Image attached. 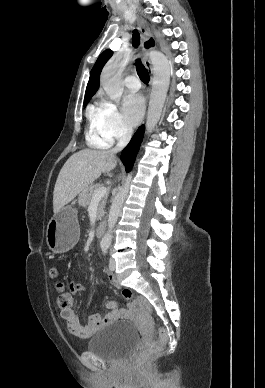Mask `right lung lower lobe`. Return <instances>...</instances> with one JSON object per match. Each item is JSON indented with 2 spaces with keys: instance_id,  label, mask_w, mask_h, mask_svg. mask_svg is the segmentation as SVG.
Returning <instances> with one entry per match:
<instances>
[{
  "instance_id": "98d812e1",
  "label": "right lung lower lobe",
  "mask_w": 265,
  "mask_h": 388,
  "mask_svg": "<svg viewBox=\"0 0 265 388\" xmlns=\"http://www.w3.org/2000/svg\"><path fill=\"white\" fill-rule=\"evenodd\" d=\"M144 135V125L139 127L137 132L132 137L130 143L123 149L121 154V160L126 167V171L129 172L134 164L136 155L140 148L142 139Z\"/></svg>"
}]
</instances>
